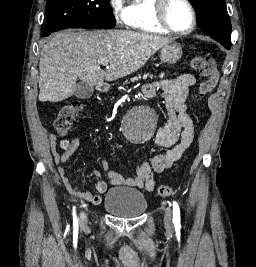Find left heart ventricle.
Wrapping results in <instances>:
<instances>
[{
    "label": "left heart ventricle",
    "instance_id": "obj_1",
    "mask_svg": "<svg viewBox=\"0 0 256 267\" xmlns=\"http://www.w3.org/2000/svg\"><path fill=\"white\" fill-rule=\"evenodd\" d=\"M166 17L171 27L180 32L189 30L192 25L190 10L185 4L177 0L168 3Z\"/></svg>",
    "mask_w": 256,
    "mask_h": 267
}]
</instances>
